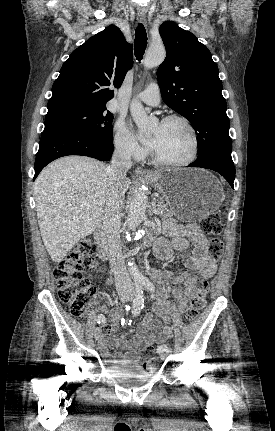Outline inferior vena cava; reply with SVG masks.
Listing matches in <instances>:
<instances>
[{
	"label": "inferior vena cava",
	"instance_id": "602c4592",
	"mask_svg": "<svg viewBox=\"0 0 275 431\" xmlns=\"http://www.w3.org/2000/svg\"><path fill=\"white\" fill-rule=\"evenodd\" d=\"M131 166L130 151L125 147H120L114 151L111 165L106 168L109 189L104 207L103 225L108 239L109 263L119 291H131L133 288L122 258L120 241V210L124 201L122 182Z\"/></svg>",
	"mask_w": 275,
	"mask_h": 431
}]
</instances>
